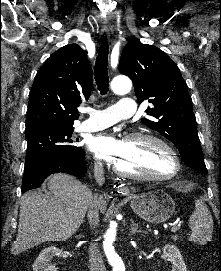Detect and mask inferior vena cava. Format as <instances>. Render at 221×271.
Listing matches in <instances>:
<instances>
[{
  "instance_id": "602c4592",
  "label": "inferior vena cava",
  "mask_w": 221,
  "mask_h": 271,
  "mask_svg": "<svg viewBox=\"0 0 221 271\" xmlns=\"http://www.w3.org/2000/svg\"><path fill=\"white\" fill-rule=\"evenodd\" d=\"M94 171H97L99 175L97 183H104L105 181V177L103 175L104 169L101 161H99V163H95ZM97 199L98 193H91L90 203L87 211V217L91 229H96L100 221ZM88 253H89L90 271H107L104 265L103 257L100 253V249H98V243H90Z\"/></svg>"
}]
</instances>
